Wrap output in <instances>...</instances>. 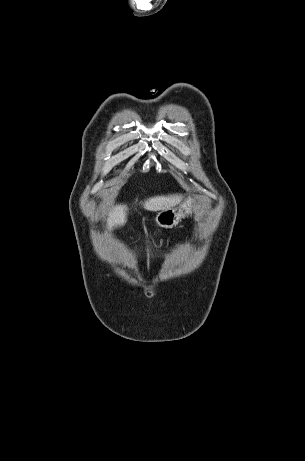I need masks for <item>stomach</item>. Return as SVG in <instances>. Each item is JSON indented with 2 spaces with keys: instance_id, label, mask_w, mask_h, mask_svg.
I'll list each match as a JSON object with an SVG mask.
<instances>
[{
  "instance_id": "0dacf381",
  "label": "stomach",
  "mask_w": 305,
  "mask_h": 461,
  "mask_svg": "<svg viewBox=\"0 0 305 461\" xmlns=\"http://www.w3.org/2000/svg\"><path fill=\"white\" fill-rule=\"evenodd\" d=\"M197 207V198L188 197L184 202L179 204L175 208H168L160 211L156 217L155 221L158 226L163 228H172L176 226L181 218H184L186 215L191 214Z\"/></svg>"
}]
</instances>
